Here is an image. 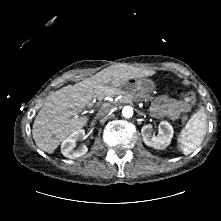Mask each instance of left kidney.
Wrapping results in <instances>:
<instances>
[{
	"mask_svg": "<svg viewBox=\"0 0 221 221\" xmlns=\"http://www.w3.org/2000/svg\"><path fill=\"white\" fill-rule=\"evenodd\" d=\"M152 126L145 125L141 129L143 141L147 146L162 150L166 148L173 138V127L167 121H161L158 127V135L151 136Z\"/></svg>",
	"mask_w": 221,
	"mask_h": 221,
	"instance_id": "1",
	"label": "left kidney"
}]
</instances>
